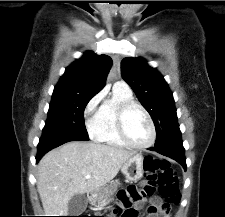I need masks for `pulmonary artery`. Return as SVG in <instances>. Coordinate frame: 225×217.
<instances>
[{
	"label": "pulmonary artery",
	"instance_id": "1",
	"mask_svg": "<svg viewBox=\"0 0 225 217\" xmlns=\"http://www.w3.org/2000/svg\"><path fill=\"white\" fill-rule=\"evenodd\" d=\"M114 86L124 90H130L129 85L125 81H117Z\"/></svg>",
	"mask_w": 225,
	"mask_h": 217
}]
</instances>
